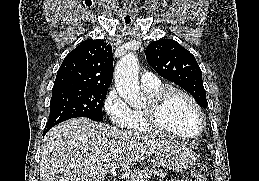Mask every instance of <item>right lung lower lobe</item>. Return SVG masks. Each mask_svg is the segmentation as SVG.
I'll return each instance as SVG.
<instances>
[{"label": "right lung lower lobe", "instance_id": "right-lung-lower-lobe-1", "mask_svg": "<svg viewBox=\"0 0 259 181\" xmlns=\"http://www.w3.org/2000/svg\"><path fill=\"white\" fill-rule=\"evenodd\" d=\"M48 130H49V129H44V135H45V133H47Z\"/></svg>", "mask_w": 259, "mask_h": 181}]
</instances>
